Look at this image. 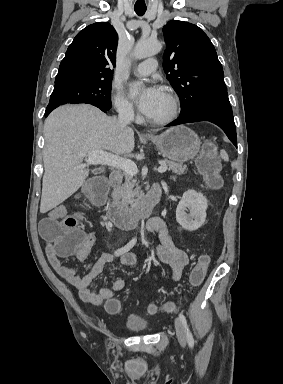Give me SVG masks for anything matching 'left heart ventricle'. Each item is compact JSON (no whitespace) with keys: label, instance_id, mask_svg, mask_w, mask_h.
<instances>
[{"label":"left heart ventricle","instance_id":"obj_1","mask_svg":"<svg viewBox=\"0 0 283 384\" xmlns=\"http://www.w3.org/2000/svg\"><path fill=\"white\" fill-rule=\"evenodd\" d=\"M168 111H169V103L166 95L163 94L161 100L155 106L153 111L149 115H146L145 117L148 119L161 118V117H164L168 113Z\"/></svg>","mask_w":283,"mask_h":384}]
</instances>
